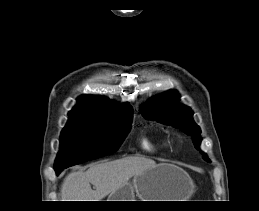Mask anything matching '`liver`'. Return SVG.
I'll use <instances>...</instances> for the list:
<instances>
[{
	"instance_id": "obj_1",
	"label": "liver",
	"mask_w": 259,
	"mask_h": 211,
	"mask_svg": "<svg viewBox=\"0 0 259 211\" xmlns=\"http://www.w3.org/2000/svg\"><path fill=\"white\" fill-rule=\"evenodd\" d=\"M155 166L151 159L130 156L93 164L86 171L71 172L61 186L62 201H101L130 178Z\"/></svg>"
}]
</instances>
